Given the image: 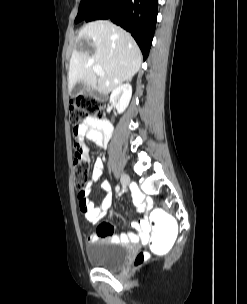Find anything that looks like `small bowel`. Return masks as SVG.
<instances>
[{
  "instance_id": "1",
  "label": "small bowel",
  "mask_w": 247,
  "mask_h": 304,
  "mask_svg": "<svg viewBox=\"0 0 247 304\" xmlns=\"http://www.w3.org/2000/svg\"><path fill=\"white\" fill-rule=\"evenodd\" d=\"M112 132V125L107 120H101L94 117L86 118L78 127L73 135L72 144L74 149L72 155L75 156L77 162H90L89 149L84 145V140L93 141L101 148H105L108 144ZM103 160L96 159L92 171L91 181L87 184L83 197L79 198V206L85 219L93 225H96V232L87 237L89 243H94L100 238L110 237L113 241L124 242H142L147 243L150 237V221L144 218L136 221L132 226L139 231L135 233H123L121 235L114 234V226L106 220L107 209L111 205L112 195L109 192V183L104 181L101 183V189L106 192L99 206L89 199L92 184L96 182L103 171ZM138 208L140 211L146 209L147 200L141 195L137 196Z\"/></svg>"
}]
</instances>
